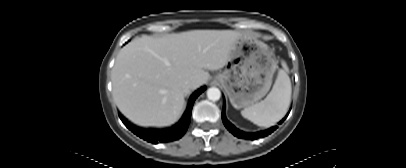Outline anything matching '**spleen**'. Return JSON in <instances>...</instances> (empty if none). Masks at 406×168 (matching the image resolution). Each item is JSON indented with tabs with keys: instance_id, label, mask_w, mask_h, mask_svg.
<instances>
[{
	"instance_id": "spleen-1",
	"label": "spleen",
	"mask_w": 406,
	"mask_h": 168,
	"mask_svg": "<svg viewBox=\"0 0 406 168\" xmlns=\"http://www.w3.org/2000/svg\"><path fill=\"white\" fill-rule=\"evenodd\" d=\"M271 92L259 103L251 105L241 111L244 118L261 127H270L281 120L288 111L291 101V81L288 67L282 61Z\"/></svg>"
}]
</instances>
